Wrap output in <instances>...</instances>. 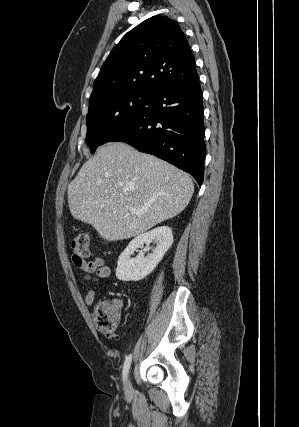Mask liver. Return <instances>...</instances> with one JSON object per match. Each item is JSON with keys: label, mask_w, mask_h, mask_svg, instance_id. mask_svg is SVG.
<instances>
[{"label": "liver", "mask_w": 299, "mask_h": 427, "mask_svg": "<svg viewBox=\"0 0 299 427\" xmlns=\"http://www.w3.org/2000/svg\"><path fill=\"white\" fill-rule=\"evenodd\" d=\"M193 193L188 174L122 142L100 147L67 189L72 216L107 241L138 236L173 218Z\"/></svg>", "instance_id": "obj_1"}]
</instances>
